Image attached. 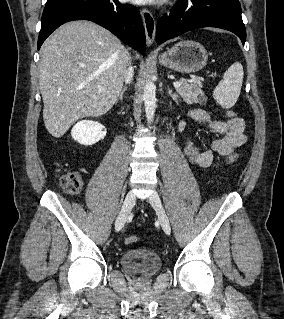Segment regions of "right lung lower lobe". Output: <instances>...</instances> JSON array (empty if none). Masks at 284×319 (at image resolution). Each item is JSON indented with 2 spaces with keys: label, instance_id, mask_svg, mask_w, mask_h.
I'll return each instance as SVG.
<instances>
[{
  "label": "right lung lower lobe",
  "instance_id": "1",
  "mask_svg": "<svg viewBox=\"0 0 284 319\" xmlns=\"http://www.w3.org/2000/svg\"><path fill=\"white\" fill-rule=\"evenodd\" d=\"M72 20L93 21L141 53L145 50V32L138 9L118 0H47L38 50L55 29Z\"/></svg>",
  "mask_w": 284,
  "mask_h": 319
}]
</instances>
